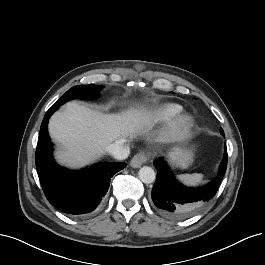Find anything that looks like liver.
<instances>
[{
  "label": "liver",
  "mask_w": 265,
  "mask_h": 265,
  "mask_svg": "<svg viewBox=\"0 0 265 265\" xmlns=\"http://www.w3.org/2000/svg\"><path fill=\"white\" fill-rule=\"evenodd\" d=\"M148 124L142 110L103 114L70 102L49 121L50 136L60 144L56 159L70 167H83L98 159L119 138H133Z\"/></svg>",
  "instance_id": "obj_1"
}]
</instances>
